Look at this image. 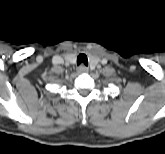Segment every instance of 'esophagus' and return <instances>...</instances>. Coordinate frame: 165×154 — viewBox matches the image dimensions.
I'll list each match as a JSON object with an SVG mask.
<instances>
[{
  "mask_svg": "<svg viewBox=\"0 0 165 154\" xmlns=\"http://www.w3.org/2000/svg\"><path fill=\"white\" fill-rule=\"evenodd\" d=\"M77 72L78 73H87L88 68L85 65H80V66L77 67Z\"/></svg>",
  "mask_w": 165,
  "mask_h": 154,
  "instance_id": "esophagus-1",
  "label": "esophagus"
}]
</instances>
